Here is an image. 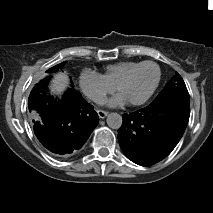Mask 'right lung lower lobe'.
<instances>
[{
	"instance_id": "1",
	"label": "right lung lower lobe",
	"mask_w": 213,
	"mask_h": 213,
	"mask_svg": "<svg viewBox=\"0 0 213 213\" xmlns=\"http://www.w3.org/2000/svg\"><path fill=\"white\" fill-rule=\"evenodd\" d=\"M48 82L49 79L42 80L28 98L34 132L51 152L69 154L82 147L99 117L93 106L72 88L61 99L48 95Z\"/></svg>"
}]
</instances>
